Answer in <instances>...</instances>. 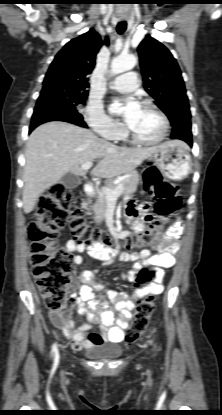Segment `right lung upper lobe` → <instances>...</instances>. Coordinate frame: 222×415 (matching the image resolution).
Wrapping results in <instances>:
<instances>
[{
	"label": "right lung upper lobe",
	"instance_id": "1",
	"mask_svg": "<svg viewBox=\"0 0 222 415\" xmlns=\"http://www.w3.org/2000/svg\"><path fill=\"white\" fill-rule=\"evenodd\" d=\"M104 43L108 45V38ZM103 45L94 29L69 41L55 56L43 81V89L71 88L87 92L89 74Z\"/></svg>",
	"mask_w": 222,
	"mask_h": 415
}]
</instances>
